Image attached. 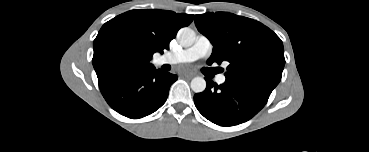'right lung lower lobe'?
Instances as JSON below:
<instances>
[{
  "mask_svg": "<svg viewBox=\"0 0 369 152\" xmlns=\"http://www.w3.org/2000/svg\"><path fill=\"white\" fill-rule=\"evenodd\" d=\"M176 80V75L151 68L121 74L99 87L111 108L137 119L159 109Z\"/></svg>",
  "mask_w": 369,
  "mask_h": 152,
  "instance_id": "obj_1",
  "label": "right lung lower lobe"
}]
</instances>
